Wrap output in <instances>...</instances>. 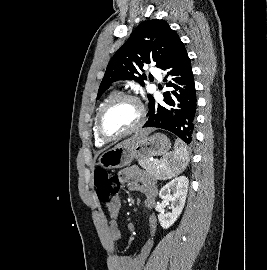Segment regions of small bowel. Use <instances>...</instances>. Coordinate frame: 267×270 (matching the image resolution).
Wrapping results in <instances>:
<instances>
[{"label":"small bowel","instance_id":"small-bowel-1","mask_svg":"<svg viewBox=\"0 0 267 270\" xmlns=\"http://www.w3.org/2000/svg\"><path fill=\"white\" fill-rule=\"evenodd\" d=\"M119 178L123 183H127L133 190L141 192L145 196L144 204L148 208H153L156 204V187L153 181L146 176L138 167L131 166L120 171ZM122 202L119 197L112 198L107 203L109 212L108 234L112 242L121 239V231L118 225V214ZM150 237L142 245L139 253L134 257H115L117 270H142L154 244L153 236L156 232V220L154 216L148 219Z\"/></svg>","mask_w":267,"mask_h":270}]
</instances>
